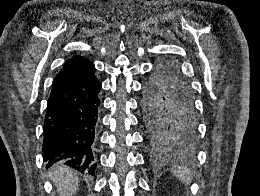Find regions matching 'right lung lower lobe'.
<instances>
[{
  "label": "right lung lower lobe",
  "instance_id": "obj_1",
  "mask_svg": "<svg viewBox=\"0 0 260 196\" xmlns=\"http://www.w3.org/2000/svg\"><path fill=\"white\" fill-rule=\"evenodd\" d=\"M101 82L95 68L54 81L44 121L43 159L94 175L95 133Z\"/></svg>",
  "mask_w": 260,
  "mask_h": 196
}]
</instances>
